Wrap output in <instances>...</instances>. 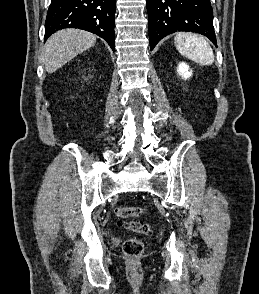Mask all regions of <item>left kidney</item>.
<instances>
[{"mask_svg":"<svg viewBox=\"0 0 259 294\" xmlns=\"http://www.w3.org/2000/svg\"><path fill=\"white\" fill-rule=\"evenodd\" d=\"M177 72L184 79H188L192 76V71L189 70V66L185 62H180L178 64Z\"/></svg>","mask_w":259,"mask_h":294,"instance_id":"5707ae66","label":"left kidney"}]
</instances>
